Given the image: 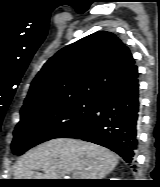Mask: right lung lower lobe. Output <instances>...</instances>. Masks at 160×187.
Returning a JSON list of instances; mask_svg holds the SVG:
<instances>
[{"instance_id":"obj_1","label":"right lung lower lobe","mask_w":160,"mask_h":187,"mask_svg":"<svg viewBox=\"0 0 160 187\" xmlns=\"http://www.w3.org/2000/svg\"><path fill=\"white\" fill-rule=\"evenodd\" d=\"M139 112L138 68L134 65L97 98L93 114L63 138L107 147L135 167Z\"/></svg>"}]
</instances>
